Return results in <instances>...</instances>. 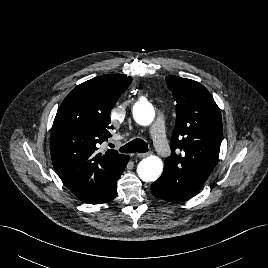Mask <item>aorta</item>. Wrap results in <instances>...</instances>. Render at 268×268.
I'll return each mask as SVG.
<instances>
[{
  "label": "aorta",
  "instance_id": "aorta-1",
  "mask_svg": "<svg viewBox=\"0 0 268 268\" xmlns=\"http://www.w3.org/2000/svg\"><path fill=\"white\" fill-rule=\"evenodd\" d=\"M155 117V110L152 104L147 101L138 102L133 107L134 120L143 126L152 123ZM163 171V162L157 156H149L141 160L137 166V173L144 182L156 181Z\"/></svg>",
  "mask_w": 268,
  "mask_h": 268
}]
</instances>
